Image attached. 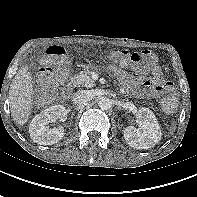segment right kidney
Listing matches in <instances>:
<instances>
[{
	"mask_svg": "<svg viewBox=\"0 0 197 197\" xmlns=\"http://www.w3.org/2000/svg\"><path fill=\"white\" fill-rule=\"evenodd\" d=\"M66 116L67 111L63 105L51 106L37 114L29 126L31 139L40 145H52L59 142L65 134L63 127L50 129L48 124L56 120L64 121Z\"/></svg>",
	"mask_w": 197,
	"mask_h": 197,
	"instance_id": "obj_1",
	"label": "right kidney"
}]
</instances>
